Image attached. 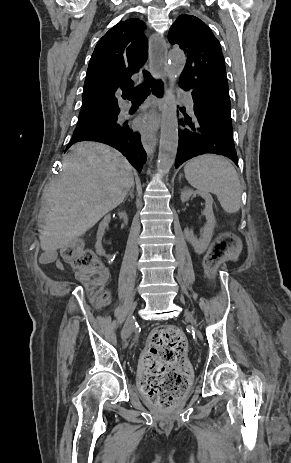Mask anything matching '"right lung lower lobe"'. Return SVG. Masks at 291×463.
<instances>
[{"mask_svg":"<svg viewBox=\"0 0 291 463\" xmlns=\"http://www.w3.org/2000/svg\"><path fill=\"white\" fill-rule=\"evenodd\" d=\"M80 141H97L112 146L120 151L138 172L146 162L147 155L141 144L140 135L132 132L127 122L116 121L74 132L70 145Z\"/></svg>","mask_w":291,"mask_h":463,"instance_id":"1","label":"right lung lower lobe"}]
</instances>
